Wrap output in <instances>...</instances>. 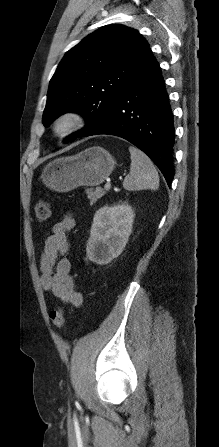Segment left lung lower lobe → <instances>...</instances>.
<instances>
[{
	"instance_id": "obj_1",
	"label": "left lung lower lobe",
	"mask_w": 219,
	"mask_h": 447,
	"mask_svg": "<svg viewBox=\"0 0 219 447\" xmlns=\"http://www.w3.org/2000/svg\"><path fill=\"white\" fill-rule=\"evenodd\" d=\"M98 134L115 135L134 144L170 185L174 177L173 114L159 64L149 48L102 121L87 136Z\"/></svg>"
}]
</instances>
